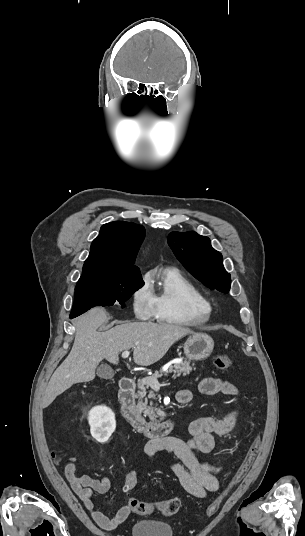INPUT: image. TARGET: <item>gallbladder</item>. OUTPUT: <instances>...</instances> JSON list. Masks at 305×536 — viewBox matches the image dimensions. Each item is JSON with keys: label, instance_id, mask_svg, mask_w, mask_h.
Returning a JSON list of instances; mask_svg holds the SVG:
<instances>
[{"label": "gallbladder", "instance_id": "1", "mask_svg": "<svg viewBox=\"0 0 305 536\" xmlns=\"http://www.w3.org/2000/svg\"><path fill=\"white\" fill-rule=\"evenodd\" d=\"M97 376H99V378H104V380H111L114 376V372L110 366H107V364H101L97 370Z\"/></svg>", "mask_w": 305, "mask_h": 536}]
</instances>
